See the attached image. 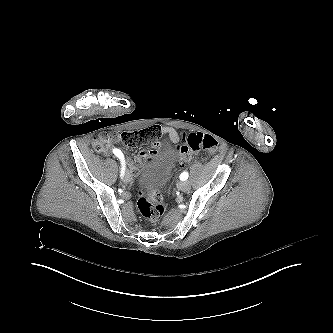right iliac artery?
<instances>
[{
    "label": "right iliac artery",
    "instance_id": "obj_1",
    "mask_svg": "<svg viewBox=\"0 0 333 333\" xmlns=\"http://www.w3.org/2000/svg\"><path fill=\"white\" fill-rule=\"evenodd\" d=\"M113 152H114V154H115L117 157H119V159H121L122 162L124 163V156H123V153H122L119 149H113ZM123 170H124V166H123L122 171H121V176H122L123 173H124Z\"/></svg>",
    "mask_w": 333,
    "mask_h": 333
}]
</instances>
